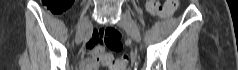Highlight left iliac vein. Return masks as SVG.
<instances>
[{"label": "left iliac vein", "mask_w": 238, "mask_h": 70, "mask_svg": "<svg viewBox=\"0 0 238 70\" xmlns=\"http://www.w3.org/2000/svg\"><path fill=\"white\" fill-rule=\"evenodd\" d=\"M119 25L129 33L132 39L136 42H140L139 29L129 13H123L121 15Z\"/></svg>", "instance_id": "1"}]
</instances>
